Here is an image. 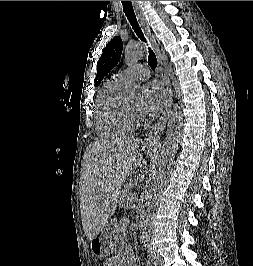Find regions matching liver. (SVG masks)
<instances>
[{
	"mask_svg": "<svg viewBox=\"0 0 253 266\" xmlns=\"http://www.w3.org/2000/svg\"><path fill=\"white\" fill-rule=\"evenodd\" d=\"M142 151L152 146L133 137L98 140L87 147L81 173V219L88 241L101 232L114 215L121 188L141 164Z\"/></svg>",
	"mask_w": 253,
	"mask_h": 266,
	"instance_id": "obj_1",
	"label": "liver"
}]
</instances>
